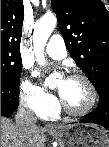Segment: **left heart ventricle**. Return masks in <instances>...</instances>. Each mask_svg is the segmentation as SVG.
<instances>
[{
    "label": "left heart ventricle",
    "mask_w": 109,
    "mask_h": 147,
    "mask_svg": "<svg viewBox=\"0 0 109 147\" xmlns=\"http://www.w3.org/2000/svg\"><path fill=\"white\" fill-rule=\"evenodd\" d=\"M56 87L67 105L74 110L86 108L91 101L90 89L80 79H61Z\"/></svg>",
    "instance_id": "left-heart-ventricle-1"
}]
</instances>
